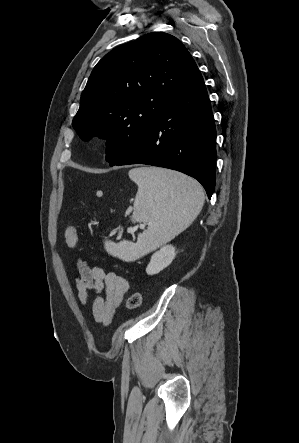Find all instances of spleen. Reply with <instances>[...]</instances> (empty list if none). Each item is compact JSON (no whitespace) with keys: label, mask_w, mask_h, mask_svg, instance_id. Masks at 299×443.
<instances>
[{"label":"spleen","mask_w":299,"mask_h":443,"mask_svg":"<svg viewBox=\"0 0 299 443\" xmlns=\"http://www.w3.org/2000/svg\"><path fill=\"white\" fill-rule=\"evenodd\" d=\"M128 175L138 186L132 220L149 226L136 243L105 241V249L124 261H134L189 227L203 207L204 192L196 180L171 170L141 167Z\"/></svg>","instance_id":"1"}]
</instances>
